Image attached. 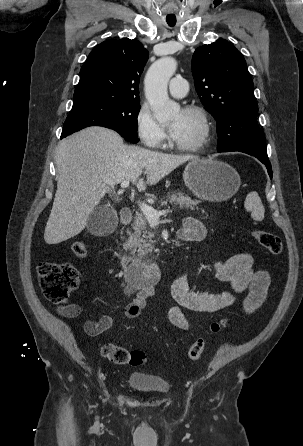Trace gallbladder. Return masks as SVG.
Instances as JSON below:
<instances>
[{"label":"gallbladder","mask_w":303,"mask_h":446,"mask_svg":"<svg viewBox=\"0 0 303 446\" xmlns=\"http://www.w3.org/2000/svg\"><path fill=\"white\" fill-rule=\"evenodd\" d=\"M117 216L108 206H100L93 210L87 221L88 232L94 235H104L115 228Z\"/></svg>","instance_id":"obj_1"}]
</instances>
